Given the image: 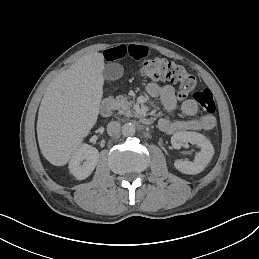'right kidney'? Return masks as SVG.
<instances>
[{
    "mask_svg": "<svg viewBox=\"0 0 259 259\" xmlns=\"http://www.w3.org/2000/svg\"><path fill=\"white\" fill-rule=\"evenodd\" d=\"M99 160V152L90 145H83L70 161V171L79 180L91 175Z\"/></svg>",
    "mask_w": 259,
    "mask_h": 259,
    "instance_id": "obj_1",
    "label": "right kidney"
}]
</instances>
